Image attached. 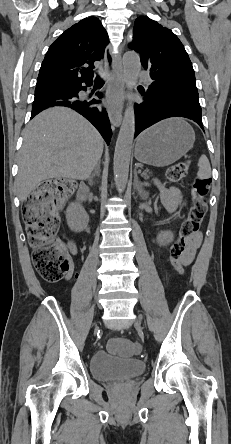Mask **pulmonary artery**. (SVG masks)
Listing matches in <instances>:
<instances>
[{
	"mask_svg": "<svg viewBox=\"0 0 231 444\" xmlns=\"http://www.w3.org/2000/svg\"><path fill=\"white\" fill-rule=\"evenodd\" d=\"M139 78L142 81H145V82H148V83L151 81L150 76L148 74L144 73V72H140L139 73Z\"/></svg>",
	"mask_w": 231,
	"mask_h": 444,
	"instance_id": "e3ab8cb5",
	"label": "pulmonary artery"
}]
</instances>
